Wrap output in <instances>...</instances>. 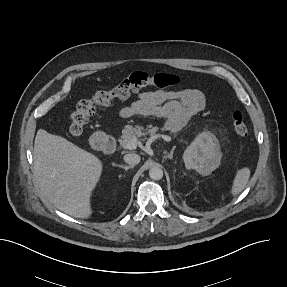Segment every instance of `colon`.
Here are the masks:
<instances>
[{"instance_id": "obj_1", "label": "colon", "mask_w": 287, "mask_h": 287, "mask_svg": "<svg viewBox=\"0 0 287 287\" xmlns=\"http://www.w3.org/2000/svg\"><path fill=\"white\" fill-rule=\"evenodd\" d=\"M180 78L171 73H150L134 71L121 80L110 90L97 91L91 98L80 100L69 117V131L73 136H79L90 118L94 115L97 106L109 105L114 99H127L133 93L146 86L171 88L179 84ZM232 125L235 133L241 137L248 135V128L239 111L232 114Z\"/></svg>"}]
</instances>
